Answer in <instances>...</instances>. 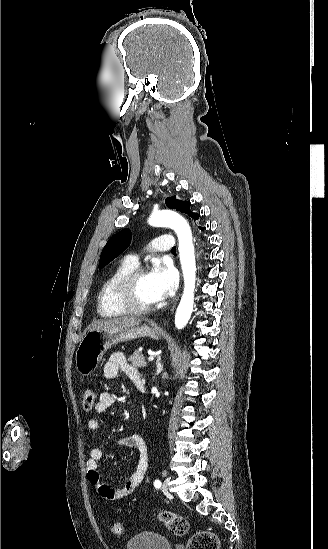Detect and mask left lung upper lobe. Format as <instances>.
<instances>
[{
    "mask_svg": "<svg viewBox=\"0 0 328 549\" xmlns=\"http://www.w3.org/2000/svg\"><path fill=\"white\" fill-rule=\"evenodd\" d=\"M165 203L169 208L184 212L194 220H197L200 216L190 210V202L177 200L176 196L168 197L165 200ZM199 229L204 230L205 227H199ZM130 241L131 235L128 229H124L112 236L102 250L99 268H103L119 254H121L129 246Z\"/></svg>",
    "mask_w": 328,
    "mask_h": 549,
    "instance_id": "obj_1",
    "label": "left lung upper lobe"
}]
</instances>
